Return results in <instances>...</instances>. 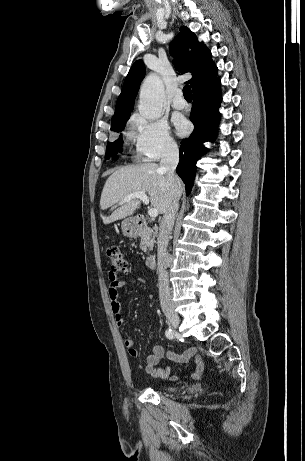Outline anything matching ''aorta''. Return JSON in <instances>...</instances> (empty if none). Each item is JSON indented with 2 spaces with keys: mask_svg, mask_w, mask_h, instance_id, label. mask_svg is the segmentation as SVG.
Wrapping results in <instances>:
<instances>
[{
  "mask_svg": "<svg viewBox=\"0 0 305 461\" xmlns=\"http://www.w3.org/2000/svg\"><path fill=\"white\" fill-rule=\"evenodd\" d=\"M165 97L164 85L160 77L153 73L146 77L140 89L138 109L148 120L159 119Z\"/></svg>",
  "mask_w": 305,
  "mask_h": 461,
  "instance_id": "aorta-1",
  "label": "aorta"
}]
</instances>
